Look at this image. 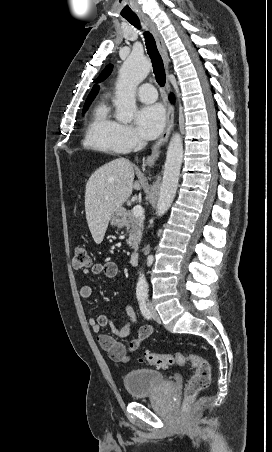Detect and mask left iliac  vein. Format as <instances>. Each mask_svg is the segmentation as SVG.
Segmentation results:
<instances>
[{"label": "left iliac vein", "mask_w": 272, "mask_h": 452, "mask_svg": "<svg viewBox=\"0 0 272 452\" xmlns=\"http://www.w3.org/2000/svg\"><path fill=\"white\" fill-rule=\"evenodd\" d=\"M150 315L155 321H160V317L152 304H149Z\"/></svg>", "instance_id": "4c4485c4"}]
</instances>
